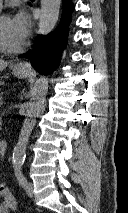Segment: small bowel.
I'll use <instances>...</instances> for the list:
<instances>
[{
    "label": "small bowel",
    "mask_w": 128,
    "mask_h": 213,
    "mask_svg": "<svg viewBox=\"0 0 128 213\" xmlns=\"http://www.w3.org/2000/svg\"><path fill=\"white\" fill-rule=\"evenodd\" d=\"M0 213H10L9 208L5 205V203L0 204Z\"/></svg>",
    "instance_id": "obj_1"
}]
</instances>
